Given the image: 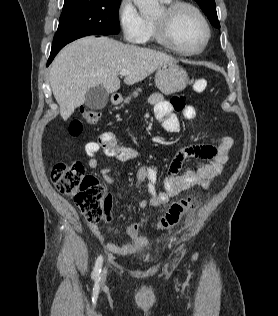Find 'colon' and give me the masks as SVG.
<instances>
[{"label": "colon", "mask_w": 278, "mask_h": 316, "mask_svg": "<svg viewBox=\"0 0 278 316\" xmlns=\"http://www.w3.org/2000/svg\"><path fill=\"white\" fill-rule=\"evenodd\" d=\"M206 87L207 81L205 79H197L193 84V89L197 93L203 92ZM81 115L89 124H96L101 119V113L95 110H82ZM69 129L71 134L78 135L82 130V123L79 120H74ZM50 179L60 193L73 199L88 223H99L103 217L106 191L95 177L86 174L82 163H58L53 166ZM192 206L193 203L190 198H183L174 202L157 219L155 226L162 230L176 226Z\"/></svg>", "instance_id": "5ec220e1"}]
</instances>
